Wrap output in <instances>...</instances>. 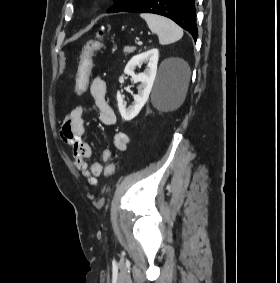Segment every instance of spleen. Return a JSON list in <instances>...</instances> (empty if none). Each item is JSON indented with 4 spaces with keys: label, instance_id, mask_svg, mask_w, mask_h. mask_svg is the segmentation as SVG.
I'll return each mask as SVG.
<instances>
[{
    "label": "spleen",
    "instance_id": "obj_1",
    "mask_svg": "<svg viewBox=\"0 0 280 283\" xmlns=\"http://www.w3.org/2000/svg\"><path fill=\"white\" fill-rule=\"evenodd\" d=\"M140 16L146 21L149 29L158 35L159 42L162 45L174 43L183 37V30L171 19L149 13H142ZM189 79L190 70L187 67L183 79L185 88L187 87Z\"/></svg>",
    "mask_w": 280,
    "mask_h": 283
}]
</instances>
